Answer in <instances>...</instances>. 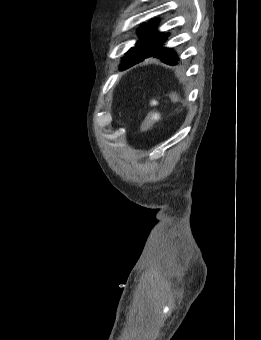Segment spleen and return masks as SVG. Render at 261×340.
<instances>
[{"label":"spleen","mask_w":261,"mask_h":340,"mask_svg":"<svg viewBox=\"0 0 261 340\" xmlns=\"http://www.w3.org/2000/svg\"><path fill=\"white\" fill-rule=\"evenodd\" d=\"M170 98H171V100H172L173 102H175V103H177V102L180 101V97H179V95H178L176 92H172V93L170 94Z\"/></svg>","instance_id":"obj_1"}]
</instances>
